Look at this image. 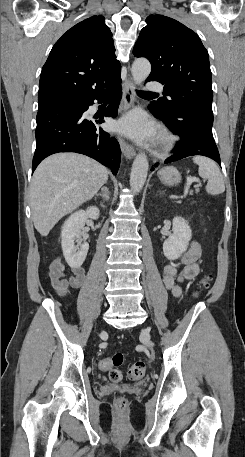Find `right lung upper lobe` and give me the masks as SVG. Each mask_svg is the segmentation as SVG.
Masks as SVG:
<instances>
[{"label": "right lung upper lobe", "instance_id": "obj_1", "mask_svg": "<svg viewBox=\"0 0 245 457\" xmlns=\"http://www.w3.org/2000/svg\"><path fill=\"white\" fill-rule=\"evenodd\" d=\"M104 17L69 29L53 46L39 82V109L90 96L120 79L112 33Z\"/></svg>", "mask_w": 245, "mask_h": 457}]
</instances>
